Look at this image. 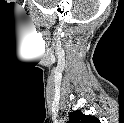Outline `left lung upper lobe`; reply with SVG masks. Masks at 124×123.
Here are the masks:
<instances>
[{"label": "left lung upper lobe", "mask_w": 124, "mask_h": 123, "mask_svg": "<svg viewBox=\"0 0 124 123\" xmlns=\"http://www.w3.org/2000/svg\"><path fill=\"white\" fill-rule=\"evenodd\" d=\"M98 119L91 115H85L80 110L73 111L69 114L68 123H97Z\"/></svg>", "instance_id": "obj_1"}]
</instances>
